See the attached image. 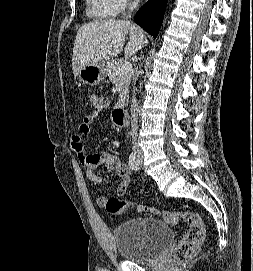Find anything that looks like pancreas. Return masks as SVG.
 <instances>
[{
	"mask_svg": "<svg viewBox=\"0 0 253 271\" xmlns=\"http://www.w3.org/2000/svg\"><path fill=\"white\" fill-rule=\"evenodd\" d=\"M123 62L120 59H114L106 64V72L112 84L117 87L119 99L116 106H123L128 95V88L131 82L132 73L120 76L119 68Z\"/></svg>",
	"mask_w": 253,
	"mask_h": 271,
	"instance_id": "1",
	"label": "pancreas"
}]
</instances>
